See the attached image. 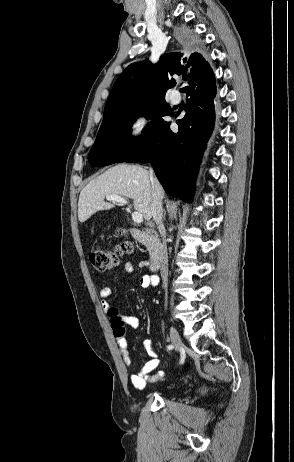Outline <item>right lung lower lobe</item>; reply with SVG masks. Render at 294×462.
<instances>
[{"label": "right lung lower lobe", "instance_id": "98d812e1", "mask_svg": "<svg viewBox=\"0 0 294 462\" xmlns=\"http://www.w3.org/2000/svg\"><path fill=\"white\" fill-rule=\"evenodd\" d=\"M184 92L191 98L185 107L184 118L177 121L179 131L172 132L169 123L163 122L158 130L124 161L152 162L155 174L165 191L190 202L205 144L214 127V73L191 85Z\"/></svg>", "mask_w": 294, "mask_h": 462}]
</instances>
